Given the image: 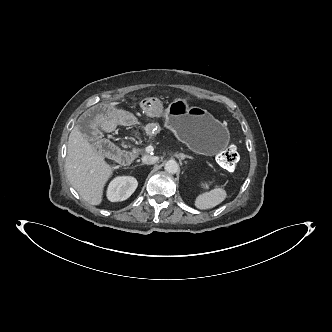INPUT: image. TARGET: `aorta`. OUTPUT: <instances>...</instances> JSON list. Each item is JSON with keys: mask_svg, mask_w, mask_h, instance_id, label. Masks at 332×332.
<instances>
[{"mask_svg": "<svg viewBox=\"0 0 332 332\" xmlns=\"http://www.w3.org/2000/svg\"><path fill=\"white\" fill-rule=\"evenodd\" d=\"M164 169L170 174H175L179 170V165L175 160H169L166 162Z\"/></svg>", "mask_w": 332, "mask_h": 332, "instance_id": "1", "label": "aorta"}]
</instances>
